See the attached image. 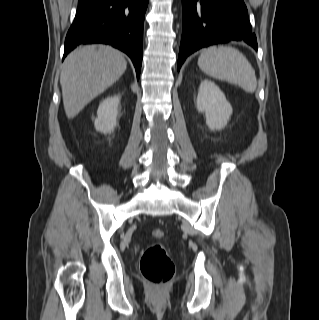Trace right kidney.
<instances>
[{
    "mask_svg": "<svg viewBox=\"0 0 319 320\" xmlns=\"http://www.w3.org/2000/svg\"><path fill=\"white\" fill-rule=\"evenodd\" d=\"M120 96L115 95L105 98L98 107L97 118L95 120V129L101 133L107 134L114 131L117 125L118 106Z\"/></svg>",
    "mask_w": 319,
    "mask_h": 320,
    "instance_id": "ca27d5eb",
    "label": "right kidney"
}]
</instances>
